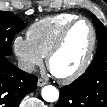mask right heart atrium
<instances>
[{
	"label": "right heart atrium",
	"mask_w": 107,
	"mask_h": 107,
	"mask_svg": "<svg viewBox=\"0 0 107 107\" xmlns=\"http://www.w3.org/2000/svg\"><path fill=\"white\" fill-rule=\"evenodd\" d=\"M12 47L20 66L25 71L32 72L42 65L44 56L33 46L28 38L15 37Z\"/></svg>",
	"instance_id": "1"
}]
</instances>
